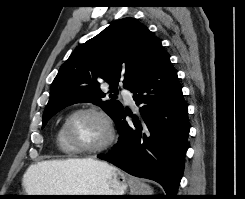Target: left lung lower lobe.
Wrapping results in <instances>:
<instances>
[{"mask_svg":"<svg viewBox=\"0 0 245 199\" xmlns=\"http://www.w3.org/2000/svg\"><path fill=\"white\" fill-rule=\"evenodd\" d=\"M139 113L128 124L124 109L116 118L120 137L112 151L98 156L140 178L160 183L167 199L176 196L184 171L190 130L188 107L177 71L163 49L131 89Z\"/></svg>","mask_w":245,"mask_h":199,"instance_id":"1","label":"left lung lower lobe"}]
</instances>
